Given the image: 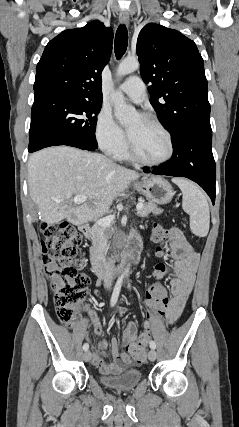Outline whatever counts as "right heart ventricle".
Listing matches in <instances>:
<instances>
[{"mask_svg":"<svg viewBox=\"0 0 239 427\" xmlns=\"http://www.w3.org/2000/svg\"><path fill=\"white\" fill-rule=\"evenodd\" d=\"M115 157L117 159H120V160H127V159H129V155L127 153L126 147L120 153H118Z\"/></svg>","mask_w":239,"mask_h":427,"instance_id":"e07e8e85","label":"right heart ventricle"}]
</instances>
